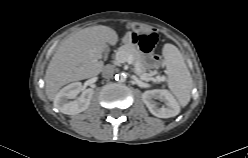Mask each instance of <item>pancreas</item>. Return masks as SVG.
Wrapping results in <instances>:
<instances>
[{"label":"pancreas","instance_id":"pancreas-1","mask_svg":"<svg viewBox=\"0 0 248 158\" xmlns=\"http://www.w3.org/2000/svg\"><path fill=\"white\" fill-rule=\"evenodd\" d=\"M131 57L133 60L135 73L144 80L150 79L152 76L156 75L155 71H150L147 73L146 61L144 54L139 48L132 44H125L121 46L116 52L115 59L117 63L123 62L126 58ZM157 81H165L162 76H156Z\"/></svg>","mask_w":248,"mask_h":158}]
</instances>
